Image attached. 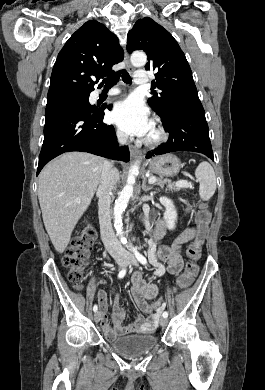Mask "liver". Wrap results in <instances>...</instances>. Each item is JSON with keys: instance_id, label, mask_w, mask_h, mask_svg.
Wrapping results in <instances>:
<instances>
[{"instance_id": "6515ba94", "label": "liver", "mask_w": 265, "mask_h": 390, "mask_svg": "<svg viewBox=\"0 0 265 390\" xmlns=\"http://www.w3.org/2000/svg\"><path fill=\"white\" fill-rule=\"evenodd\" d=\"M105 160L84 152H67L39 175L38 199L50 240L63 253L100 182Z\"/></svg>"}]
</instances>
